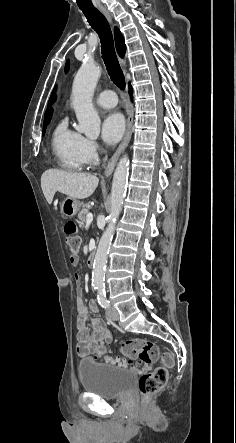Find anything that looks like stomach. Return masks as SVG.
<instances>
[{
	"instance_id": "1",
	"label": "stomach",
	"mask_w": 236,
	"mask_h": 443,
	"mask_svg": "<svg viewBox=\"0 0 236 443\" xmlns=\"http://www.w3.org/2000/svg\"><path fill=\"white\" fill-rule=\"evenodd\" d=\"M81 202L77 199L67 197L61 203V213L66 217L75 216L81 208Z\"/></svg>"
}]
</instances>
